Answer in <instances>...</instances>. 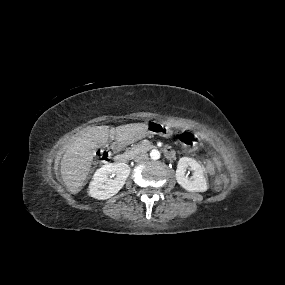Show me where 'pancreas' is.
I'll return each instance as SVG.
<instances>
[{
    "label": "pancreas",
    "instance_id": "pancreas-1",
    "mask_svg": "<svg viewBox=\"0 0 285 285\" xmlns=\"http://www.w3.org/2000/svg\"><path fill=\"white\" fill-rule=\"evenodd\" d=\"M147 149H148V147L145 146L144 144H136V145L132 146L130 151L133 153H137V152L145 151Z\"/></svg>",
    "mask_w": 285,
    "mask_h": 285
}]
</instances>
